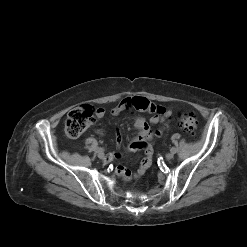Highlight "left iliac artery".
<instances>
[{
    "mask_svg": "<svg viewBox=\"0 0 247 247\" xmlns=\"http://www.w3.org/2000/svg\"><path fill=\"white\" fill-rule=\"evenodd\" d=\"M170 151H171L172 153H176V152H177V148L172 147Z\"/></svg>",
    "mask_w": 247,
    "mask_h": 247,
    "instance_id": "obj_1",
    "label": "left iliac artery"
}]
</instances>
